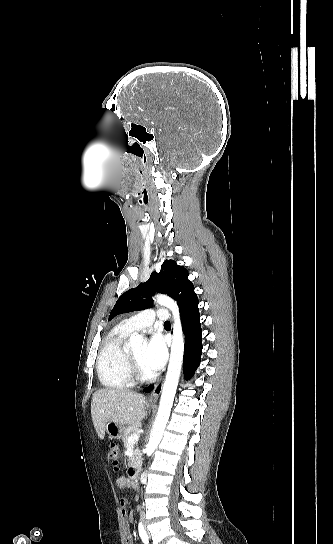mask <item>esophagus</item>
Masks as SVG:
<instances>
[{"instance_id": "34e87169", "label": "esophagus", "mask_w": 333, "mask_h": 544, "mask_svg": "<svg viewBox=\"0 0 333 544\" xmlns=\"http://www.w3.org/2000/svg\"><path fill=\"white\" fill-rule=\"evenodd\" d=\"M162 386H163V382L161 380L158 381L154 385V387H153V389H152V391H151V393H150V395L148 397V400H147L148 403L155 404L157 402V399H158V397H159V395H160V393L162 391Z\"/></svg>"}]
</instances>
